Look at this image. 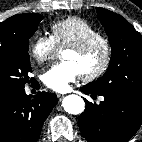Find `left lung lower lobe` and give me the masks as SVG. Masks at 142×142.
Returning a JSON list of instances; mask_svg holds the SVG:
<instances>
[{"label": "left lung lower lobe", "mask_w": 142, "mask_h": 142, "mask_svg": "<svg viewBox=\"0 0 142 142\" xmlns=\"http://www.w3.org/2000/svg\"><path fill=\"white\" fill-rule=\"evenodd\" d=\"M83 92L102 95L99 105L84 99L86 108L79 116L78 125L88 142H127L142 122V97L128 93H96L88 86Z\"/></svg>", "instance_id": "1"}]
</instances>
